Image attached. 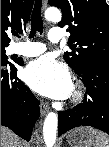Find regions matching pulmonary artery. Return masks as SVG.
Listing matches in <instances>:
<instances>
[{
	"mask_svg": "<svg viewBox=\"0 0 109 147\" xmlns=\"http://www.w3.org/2000/svg\"><path fill=\"white\" fill-rule=\"evenodd\" d=\"M48 40L52 43H58L63 40V33L52 31L48 34ZM46 51V46L41 42L25 41L17 43L12 47V52L25 57H36Z\"/></svg>",
	"mask_w": 109,
	"mask_h": 147,
	"instance_id": "obj_1",
	"label": "pulmonary artery"
}]
</instances>
